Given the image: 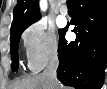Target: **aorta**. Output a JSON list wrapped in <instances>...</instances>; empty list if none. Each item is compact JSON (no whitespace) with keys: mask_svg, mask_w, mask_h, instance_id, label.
Listing matches in <instances>:
<instances>
[{"mask_svg":"<svg viewBox=\"0 0 107 89\" xmlns=\"http://www.w3.org/2000/svg\"><path fill=\"white\" fill-rule=\"evenodd\" d=\"M40 8L42 11H45L47 9V2L45 0L40 2Z\"/></svg>","mask_w":107,"mask_h":89,"instance_id":"aorta-1","label":"aorta"}]
</instances>
